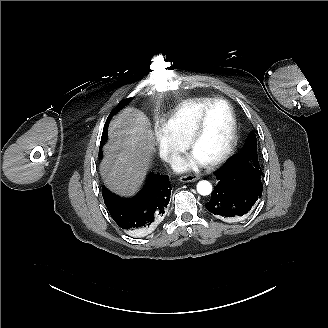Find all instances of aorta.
Returning <instances> with one entry per match:
<instances>
[{
	"label": "aorta",
	"mask_w": 328,
	"mask_h": 328,
	"mask_svg": "<svg viewBox=\"0 0 328 328\" xmlns=\"http://www.w3.org/2000/svg\"><path fill=\"white\" fill-rule=\"evenodd\" d=\"M197 192L203 196L211 194V192H212L211 183L206 180L199 181L197 184Z\"/></svg>",
	"instance_id": "obj_1"
}]
</instances>
